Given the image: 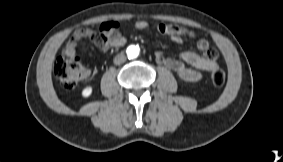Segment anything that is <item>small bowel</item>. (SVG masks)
Returning <instances> with one entry per match:
<instances>
[{"instance_id":"1","label":"small bowel","mask_w":283,"mask_h":162,"mask_svg":"<svg viewBox=\"0 0 283 162\" xmlns=\"http://www.w3.org/2000/svg\"><path fill=\"white\" fill-rule=\"evenodd\" d=\"M134 27L137 30H146L149 28V23L145 20H138ZM117 28L116 22L108 21L102 23L98 32L90 29H78L66 43L63 52L66 55H75L79 41L84 38L92 39L101 47L103 53H107L113 47L123 46L126 43V38L119 33ZM156 30L178 44L183 43L186 37L196 39V47L201 54L185 51L179 54V59L166 57L161 52L155 54L157 63L172 70L181 80L197 82L202 79L203 72L210 71L217 65V52L210 48L206 39L197 38L193 31L166 23H159Z\"/></svg>"}]
</instances>
